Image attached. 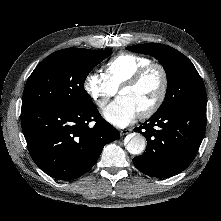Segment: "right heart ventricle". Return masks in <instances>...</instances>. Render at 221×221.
<instances>
[{"label":"right heart ventricle","instance_id":"obj_1","mask_svg":"<svg viewBox=\"0 0 221 221\" xmlns=\"http://www.w3.org/2000/svg\"><path fill=\"white\" fill-rule=\"evenodd\" d=\"M149 63H152V60L148 57L131 53H121L104 65V74L109 82L118 89L137 70Z\"/></svg>","mask_w":221,"mask_h":221}]
</instances>
